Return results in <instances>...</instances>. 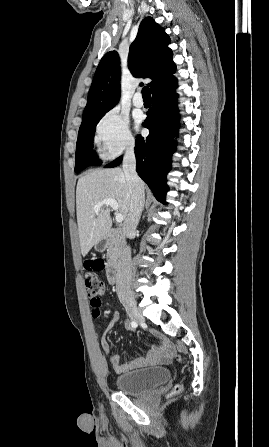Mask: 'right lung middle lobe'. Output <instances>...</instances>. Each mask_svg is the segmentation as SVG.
Wrapping results in <instances>:
<instances>
[{
	"label": "right lung middle lobe",
	"instance_id": "1",
	"mask_svg": "<svg viewBox=\"0 0 269 447\" xmlns=\"http://www.w3.org/2000/svg\"><path fill=\"white\" fill-rule=\"evenodd\" d=\"M100 119L79 129L75 154V172H80L90 165L101 164L92 149L95 128Z\"/></svg>",
	"mask_w": 269,
	"mask_h": 447
}]
</instances>
